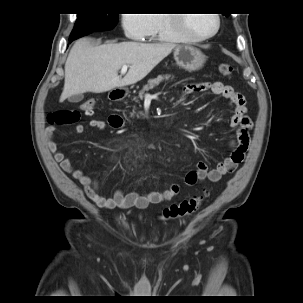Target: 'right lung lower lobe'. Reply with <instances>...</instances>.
Wrapping results in <instances>:
<instances>
[{
  "label": "right lung lower lobe",
  "instance_id": "98d812e1",
  "mask_svg": "<svg viewBox=\"0 0 303 303\" xmlns=\"http://www.w3.org/2000/svg\"><path fill=\"white\" fill-rule=\"evenodd\" d=\"M106 29H103V30H99V31H105ZM73 40H75V38H70L69 39V42H72Z\"/></svg>",
  "mask_w": 303,
  "mask_h": 303
}]
</instances>
